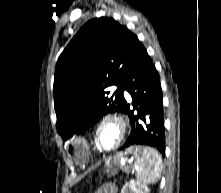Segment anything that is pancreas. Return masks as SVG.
I'll return each instance as SVG.
<instances>
[{
    "label": "pancreas",
    "mask_w": 221,
    "mask_h": 193,
    "mask_svg": "<svg viewBox=\"0 0 221 193\" xmlns=\"http://www.w3.org/2000/svg\"><path fill=\"white\" fill-rule=\"evenodd\" d=\"M106 172L110 173L111 175H115V173L117 172V169L115 170L107 169Z\"/></svg>",
    "instance_id": "1"
}]
</instances>
